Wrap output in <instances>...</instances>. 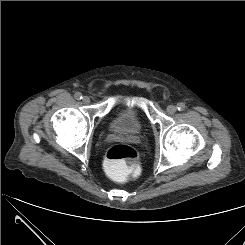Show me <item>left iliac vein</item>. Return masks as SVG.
<instances>
[{
    "mask_svg": "<svg viewBox=\"0 0 245 245\" xmlns=\"http://www.w3.org/2000/svg\"><path fill=\"white\" fill-rule=\"evenodd\" d=\"M176 111H177V108H176V106H174V105H169V106L167 107V112H168L169 114H174Z\"/></svg>",
    "mask_w": 245,
    "mask_h": 245,
    "instance_id": "left-iliac-vein-1",
    "label": "left iliac vein"
}]
</instances>
